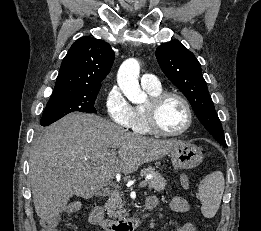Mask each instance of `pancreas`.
I'll return each instance as SVG.
<instances>
[{"instance_id": "cf45deb5", "label": "pancreas", "mask_w": 261, "mask_h": 231, "mask_svg": "<svg viewBox=\"0 0 261 231\" xmlns=\"http://www.w3.org/2000/svg\"><path fill=\"white\" fill-rule=\"evenodd\" d=\"M151 174L152 178L147 180L149 188H153L156 191H162L166 187V180L159 174L153 167L143 168L140 171V175ZM107 209L108 217L110 218H123L126 215V210L124 209V202L118 191H112L107 203L105 204Z\"/></svg>"}]
</instances>
